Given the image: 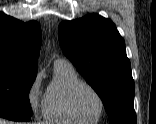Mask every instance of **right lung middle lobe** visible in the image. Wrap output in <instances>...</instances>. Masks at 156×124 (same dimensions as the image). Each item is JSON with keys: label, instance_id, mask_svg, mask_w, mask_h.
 <instances>
[{"label": "right lung middle lobe", "instance_id": "right-lung-middle-lobe-1", "mask_svg": "<svg viewBox=\"0 0 156 124\" xmlns=\"http://www.w3.org/2000/svg\"><path fill=\"white\" fill-rule=\"evenodd\" d=\"M37 72L0 66V110L31 117L28 94Z\"/></svg>", "mask_w": 156, "mask_h": 124}]
</instances>
